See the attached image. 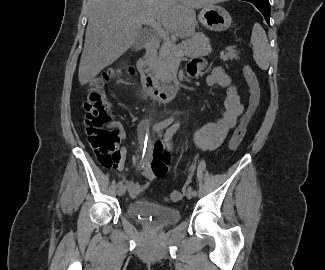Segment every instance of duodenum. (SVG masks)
Here are the masks:
<instances>
[{
	"label": "duodenum",
	"mask_w": 325,
	"mask_h": 270,
	"mask_svg": "<svg viewBox=\"0 0 325 270\" xmlns=\"http://www.w3.org/2000/svg\"><path fill=\"white\" fill-rule=\"evenodd\" d=\"M160 46V39L154 37L145 47L142 57L138 61V70L141 75L145 91L161 103L172 101L178 94V86L170 84L159 86L153 72V64L156 59L157 49Z\"/></svg>",
	"instance_id": "duodenum-1"
}]
</instances>
